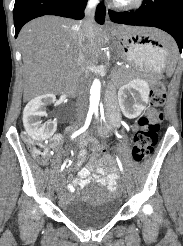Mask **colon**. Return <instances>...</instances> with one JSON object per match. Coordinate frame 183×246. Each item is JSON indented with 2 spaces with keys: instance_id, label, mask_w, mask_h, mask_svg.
Instances as JSON below:
<instances>
[{
  "instance_id": "colon-1",
  "label": "colon",
  "mask_w": 183,
  "mask_h": 246,
  "mask_svg": "<svg viewBox=\"0 0 183 246\" xmlns=\"http://www.w3.org/2000/svg\"><path fill=\"white\" fill-rule=\"evenodd\" d=\"M166 100V88L160 81L152 85L150 92V106L148 110L139 118L138 126L134 133V146L132 156L135 162H141L152 152L158 140L160 124L163 120V111ZM30 153L39 161H44L47 157V148L40 142L27 141ZM102 156L108 157L107 149H101Z\"/></svg>"
}]
</instances>
